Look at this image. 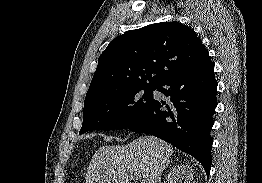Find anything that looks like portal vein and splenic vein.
<instances>
[{
	"label": "portal vein and splenic vein",
	"instance_id": "portal-vein-and-splenic-vein-1",
	"mask_svg": "<svg viewBox=\"0 0 262 183\" xmlns=\"http://www.w3.org/2000/svg\"><path fill=\"white\" fill-rule=\"evenodd\" d=\"M130 178H133V179H135V180H139L140 179V176H138V175H130Z\"/></svg>",
	"mask_w": 262,
	"mask_h": 183
}]
</instances>
